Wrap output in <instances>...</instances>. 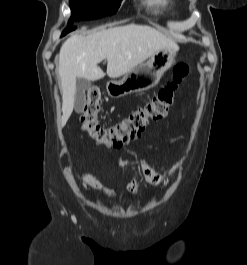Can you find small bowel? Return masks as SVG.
Returning a JSON list of instances; mask_svg holds the SVG:
<instances>
[{
    "label": "small bowel",
    "mask_w": 247,
    "mask_h": 265,
    "mask_svg": "<svg viewBox=\"0 0 247 265\" xmlns=\"http://www.w3.org/2000/svg\"><path fill=\"white\" fill-rule=\"evenodd\" d=\"M121 165L126 168L128 166V163L127 161L125 160H121ZM178 168V164H176L170 174L173 175L176 171V169ZM142 169H143V173H144V177L145 179L149 182V183H152L154 185H164L165 184V179L163 178V176L161 174H159L149 163L146 159H142ZM79 179L80 181L102 193L106 198L110 199V200H113L117 197V194L114 190L112 189H109L107 187H105L100 181H98L94 176H92L90 173H81L79 175ZM127 189L137 195L138 194V182L136 179H132L128 185H127Z\"/></svg>",
    "instance_id": "small-bowel-1"
}]
</instances>
